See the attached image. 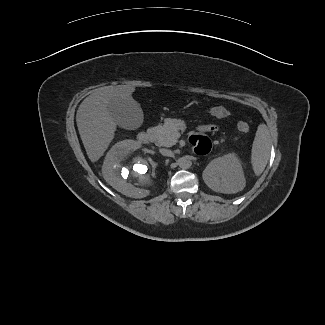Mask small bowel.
Segmentation results:
<instances>
[{
  "label": "small bowel",
  "instance_id": "small-bowel-1",
  "mask_svg": "<svg viewBox=\"0 0 325 325\" xmlns=\"http://www.w3.org/2000/svg\"><path fill=\"white\" fill-rule=\"evenodd\" d=\"M200 131H213L215 128L211 125H202L198 128ZM191 150L198 155H205L211 150L212 144L208 137L193 135L190 138Z\"/></svg>",
  "mask_w": 325,
  "mask_h": 325
}]
</instances>
